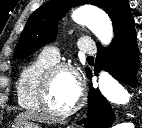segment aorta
I'll return each mask as SVG.
<instances>
[{
    "mask_svg": "<svg viewBox=\"0 0 142 128\" xmlns=\"http://www.w3.org/2000/svg\"><path fill=\"white\" fill-rule=\"evenodd\" d=\"M72 19L78 24L86 25L102 45L107 46L111 43L113 27L110 18L105 12L94 7L83 6L73 11ZM98 82L101 94L111 103L124 105L130 101L128 91L109 73L101 72ZM117 128H134V124L125 122L118 125Z\"/></svg>",
    "mask_w": 142,
    "mask_h": 128,
    "instance_id": "obj_1",
    "label": "aorta"
}]
</instances>
